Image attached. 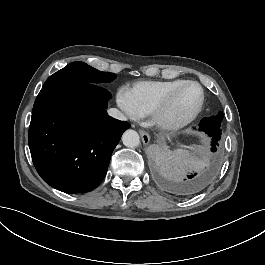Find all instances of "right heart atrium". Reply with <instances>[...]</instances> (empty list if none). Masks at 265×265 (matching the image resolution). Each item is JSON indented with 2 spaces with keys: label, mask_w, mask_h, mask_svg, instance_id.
I'll return each instance as SVG.
<instances>
[{
  "label": "right heart atrium",
  "mask_w": 265,
  "mask_h": 265,
  "mask_svg": "<svg viewBox=\"0 0 265 265\" xmlns=\"http://www.w3.org/2000/svg\"><path fill=\"white\" fill-rule=\"evenodd\" d=\"M119 110L124 117V120L131 125L137 124L140 121L141 115L134 104L133 95L128 87L122 86L115 93Z\"/></svg>",
  "instance_id": "obj_1"
}]
</instances>
